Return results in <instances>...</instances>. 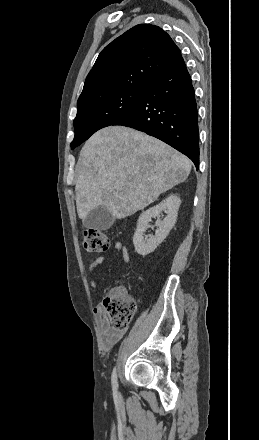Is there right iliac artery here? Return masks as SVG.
Returning <instances> with one entry per match:
<instances>
[{"label": "right iliac artery", "mask_w": 259, "mask_h": 440, "mask_svg": "<svg viewBox=\"0 0 259 440\" xmlns=\"http://www.w3.org/2000/svg\"><path fill=\"white\" fill-rule=\"evenodd\" d=\"M111 382H112V388H113L114 392H116L118 389L116 368L113 369Z\"/></svg>", "instance_id": "82829eb1"}]
</instances>
